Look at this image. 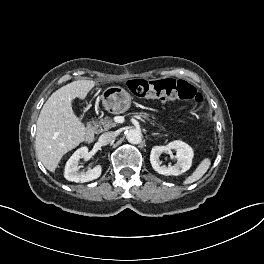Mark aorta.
Instances as JSON below:
<instances>
[{
	"mask_svg": "<svg viewBox=\"0 0 264 264\" xmlns=\"http://www.w3.org/2000/svg\"><path fill=\"white\" fill-rule=\"evenodd\" d=\"M126 138L131 144H139L142 141V133L138 129H131L127 132Z\"/></svg>",
	"mask_w": 264,
	"mask_h": 264,
	"instance_id": "aorta-1",
	"label": "aorta"
}]
</instances>
